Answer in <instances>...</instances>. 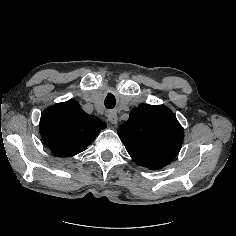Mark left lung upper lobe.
I'll return each mask as SVG.
<instances>
[{
    "label": "left lung upper lobe",
    "mask_w": 236,
    "mask_h": 236,
    "mask_svg": "<svg viewBox=\"0 0 236 236\" xmlns=\"http://www.w3.org/2000/svg\"><path fill=\"white\" fill-rule=\"evenodd\" d=\"M118 134L131 158L150 169L168 165L179 152L184 137L169 108L149 104L134 108Z\"/></svg>",
    "instance_id": "5c2ea615"
}]
</instances>
